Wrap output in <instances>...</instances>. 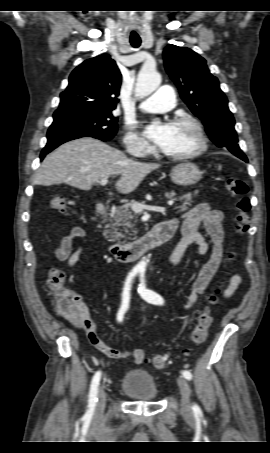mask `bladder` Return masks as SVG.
Here are the masks:
<instances>
[{"label":"bladder","instance_id":"31cf9c89","mask_svg":"<svg viewBox=\"0 0 270 453\" xmlns=\"http://www.w3.org/2000/svg\"><path fill=\"white\" fill-rule=\"evenodd\" d=\"M120 389L138 402H152L159 393L154 378L142 369H133L125 373Z\"/></svg>","mask_w":270,"mask_h":453}]
</instances>
